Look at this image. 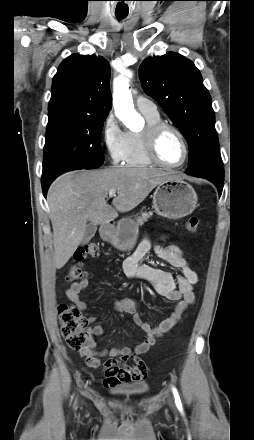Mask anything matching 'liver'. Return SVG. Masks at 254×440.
Listing matches in <instances>:
<instances>
[{
	"mask_svg": "<svg viewBox=\"0 0 254 440\" xmlns=\"http://www.w3.org/2000/svg\"><path fill=\"white\" fill-rule=\"evenodd\" d=\"M174 177L144 167L71 171L59 176L47 193L54 266L60 269L72 257L83 239L88 221L102 225L114 220L118 212L131 211L157 185ZM110 190L118 194L112 201L113 207L106 201Z\"/></svg>",
	"mask_w": 254,
	"mask_h": 440,
	"instance_id": "liver-1",
	"label": "liver"
}]
</instances>
